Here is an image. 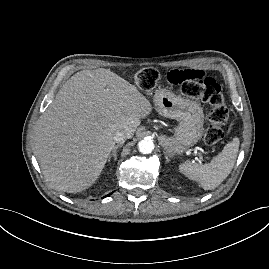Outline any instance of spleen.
Instances as JSON below:
<instances>
[{
    "mask_svg": "<svg viewBox=\"0 0 269 269\" xmlns=\"http://www.w3.org/2000/svg\"><path fill=\"white\" fill-rule=\"evenodd\" d=\"M238 150L239 139L234 138L210 163L185 162L179 165V170L189 179L197 181L204 190H213L231 173Z\"/></svg>",
    "mask_w": 269,
    "mask_h": 269,
    "instance_id": "1",
    "label": "spleen"
}]
</instances>
